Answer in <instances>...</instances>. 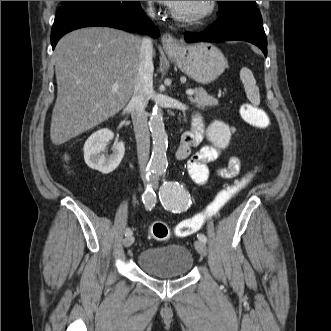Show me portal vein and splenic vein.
<instances>
[{
	"instance_id": "1",
	"label": "portal vein and splenic vein",
	"mask_w": 331,
	"mask_h": 331,
	"mask_svg": "<svg viewBox=\"0 0 331 331\" xmlns=\"http://www.w3.org/2000/svg\"><path fill=\"white\" fill-rule=\"evenodd\" d=\"M118 87H119L118 84H114L112 88H113V90H117ZM194 93H195V91L192 90V89L186 90V94L189 95V96L194 95Z\"/></svg>"
}]
</instances>
